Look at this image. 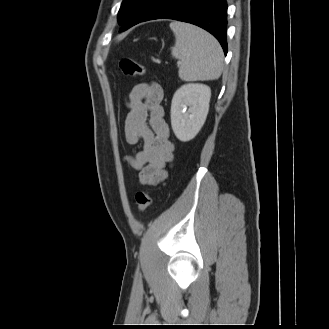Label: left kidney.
Instances as JSON below:
<instances>
[{"mask_svg": "<svg viewBox=\"0 0 329 329\" xmlns=\"http://www.w3.org/2000/svg\"><path fill=\"white\" fill-rule=\"evenodd\" d=\"M210 97L211 89L200 83L182 85L175 92L171 104V126L180 141L192 140L201 130L209 111Z\"/></svg>", "mask_w": 329, "mask_h": 329, "instance_id": "5707ae66", "label": "left kidney"}]
</instances>
